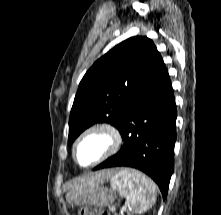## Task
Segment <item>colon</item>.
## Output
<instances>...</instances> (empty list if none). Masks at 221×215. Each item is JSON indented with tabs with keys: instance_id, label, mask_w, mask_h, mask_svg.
Instances as JSON below:
<instances>
[{
	"instance_id": "obj_1",
	"label": "colon",
	"mask_w": 221,
	"mask_h": 215,
	"mask_svg": "<svg viewBox=\"0 0 221 215\" xmlns=\"http://www.w3.org/2000/svg\"><path fill=\"white\" fill-rule=\"evenodd\" d=\"M79 215H110L108 212L103 211L99 208H93V207H83Z\"/></svg>"
}]
</instances>
